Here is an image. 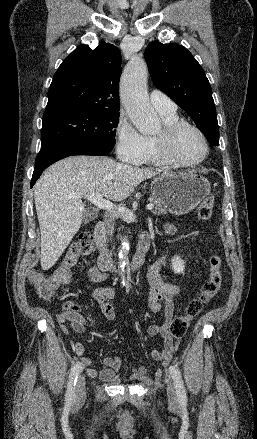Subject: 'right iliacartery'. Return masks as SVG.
I'll return each mask as SVG.
<instances>
[{
  "label": "right iliac artery",
  "instance_id": "right-iliac-artery-1",
  "mask_svg": "<svg viewBox=\"0 0 257 439\" xmlns=\"http://www.w3.org/2000/svg\"><path fill=\"white\" fill-rule=\"evenodd\" d=\"M82 365L80 362H76L71 368V372L69 375L68 388L66 392V400L72 401L75 396V385L78 378V375L82 371Z\"/></svg>",
  "mask_w": 257,
  "mask_h": 439
}]
</instances>
